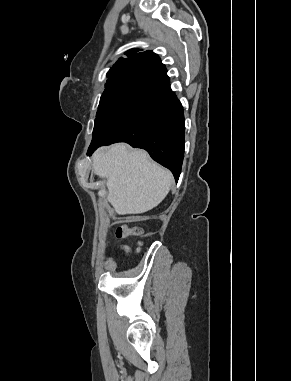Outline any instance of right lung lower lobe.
Segmentation results:
<instances>
[{"mask_svg": "<svg viewBox=\"0 0 291 381\" xmlns=\"http://www.w3.org/2000/svg\"><path fill=\"white\" fill-rule=\"evenodd\" d=\"M119 129L118 139L91 144L88 155L99 146L126 142L145 149L155 161L170 169L178 181L185 123L183 107L170 88L166 68L142 77Z\"/></svg>", "mask_w": 291, "mask_h": 381, "instance_id": "right-lung-lower-lobe-1", "label": "right lung lower lobe"}]
</instances>
